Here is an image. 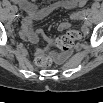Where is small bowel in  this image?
Listing matches in <instances>:
<instances>
[{"label": "small bowel", "instance_id": "1", "mask_svg": "<svg viewBox=\"0 0 103 103\" xmlns=\"http://www.w3.org/2000/svg\"><path fill=\"white\" fill-rule=\"evenodd\" d=\"M16 4L26 13V16L24 17L21 23V28L19 31L20 36L29 42L36 43L39 41L40 38L44 37L41 31L33 30V23L36 20L42 19L48 16L49 14L53 13L54 11L60 9L70 10L76 7H83L86 4V1L85 0H75V1L59 0V1L52 2L44 7H38L34 3L27 0L17 1ZM12 7L16 8V6H10L9 8L12 10ZM88 15L89 13L86 11L82 15H78L77 18L86 21ZM69 27L70 24L68 22H62L59 24L58 29L62 31ZM61 55L62 56L60 57V62L64 61L69 56V53H65Z\"/></svg>", "mask_w": 103, "mask_h": 103}]
</instances>
